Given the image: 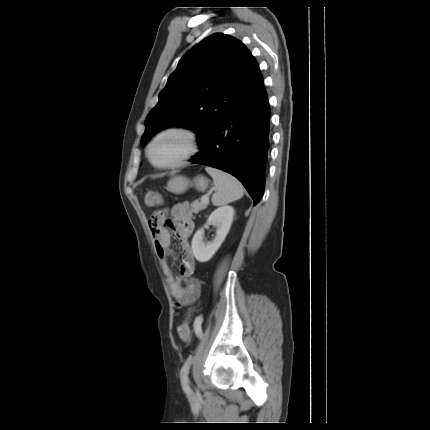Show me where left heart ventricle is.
I'll return each instance as SVG.
<instances>
[{
  "label": "left heart ventricle",
  "instance_id": "obj_1",
  "mask_svg": "<svg viewBox=\"0 0 430 430\" xmlns=\"http://www.w3.org/2000/svg\"><path fill=\"white\" fill-rule=\"evenodd\" d=\"M187 149V139L179 133L161 137L152 149V156L159 164H168L180 157Z\"/></svg>",
  "mask_w": 430,
  "mask_h": 430
}]
</instances>
